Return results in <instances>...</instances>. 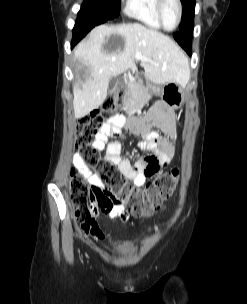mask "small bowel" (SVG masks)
<instances>
[{
    "label": "small bowel",
    "instance_id": "small-bowel-1",
    "mask_svg": "<svg viewBox=\"0 0 247 304\" xmlns=\"http://www.w3.org/2000/svg\"><path fill=\"white\" fill-rule=\"evenodd\" d=\"M148 120L161 130L163 136L155 131L149 130L148 126L139 121H127L122 115H116L107 120L101 127L94 140V146L102 151L106 148L107 155H104V162L116 165L119 171L132 181L133 187L141 188L147 179L152 178L157 172L170 164L174 157L176 140V126L174 113L167 105L158 102L154 104L147 116ZM126 127L131 133L141 136L140 147L151 151L144 153V159L132 163L128 158L121 156V146L118 143H110V138H117L121 135L122 128ZM156 159L157 166L152 168L149 159ZM73 164L80 175H82L93 187L96 196L94 197L93 218L90 223L82 225L83 231L96 238L103 239L104 235L100 230L95 217L100 212L105 213L111 219L125 220L127 212L123 200L111 195L104 187L101 180L87 166L82 155L76 152L73 155Z\"/></svg>",
    "mask_w": 247,
    "mask_h": 304
}]
</instances>
